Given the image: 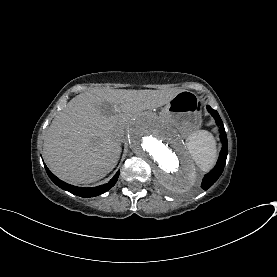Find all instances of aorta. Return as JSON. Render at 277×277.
Wrapping results in <instances>:
<instances>
[{"instance_id":"obj_1","label":"aorta","mask_w":277,"mask_h":277,"mask_svg":"<svg viewBox=\"0 0 277 277\" xmlns=\"http://www.w3.org/2000/svg\"><path fill=\"white\" fill-rule=\"evenodd\" d=\"M131 149L154 171L166 190L184 193L195 184L196 171L179 135L162 119L147 114L129 128Z\"/></svg>"}]
</instances>
